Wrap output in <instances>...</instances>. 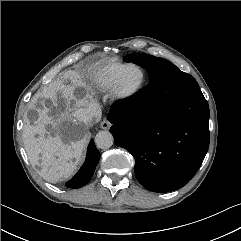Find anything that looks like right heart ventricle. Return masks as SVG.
<instances>
[{
    "mask_svg": "<svg viewBox=\"0 0 241 241\" xmlns=\"http://www.w3.org/2000/svg\"><path fill=\"white\" fill-rule=\"evenodd\" d=\"M122 62H106L94 66L88 73L92 86L100 91L111 90L116 75L126 66Z\"/></svg>",
    "mask_w": 241,
    "mask_h": 241,
    "instance_id": "right-heart-ventricle-1",
    "label": "right heart ventricle"
}]
</instances>
